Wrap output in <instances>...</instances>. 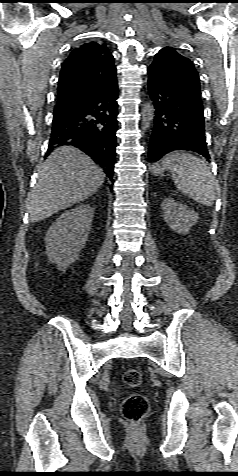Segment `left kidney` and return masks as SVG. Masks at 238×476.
Segmentation results:
<instances>
[{"mask_svg":"<svg viewBox=\"0 0 238 476\" xmlns=\"http://www.w3.org/2000/svg\"><path fill=\"white\" fill-rule=\"evenodd\" d=\"M161 208L165 222L179 234L188 233L190 228L198 222L199 217L195 211L175 202L172 198H165Z\"/></svg>","mask_w":238,"mask_h":476,"instance_id":"5707ae66","label":"left kidney"}]
</instances>
